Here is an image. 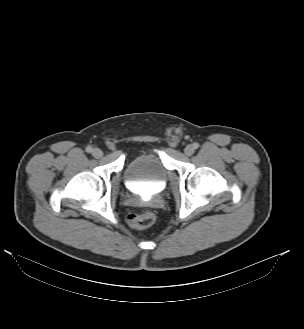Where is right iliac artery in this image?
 <instances>
[{"mask_svg":"<svg viewBox=\"0 0 304 329\" xmlns=\"http://www.w3.org/2000/svg\"><path fill=\"white\" fill-rule=\"evenodd\" d=\"M92 151H93L92 147L88 146V147L86 148V152L91 153Z\"/></svg>","mask_w":304,"mask_h":329,"instance_id":"right-iliac-artery-1","label":"right iliac artery"}]
</instances>
